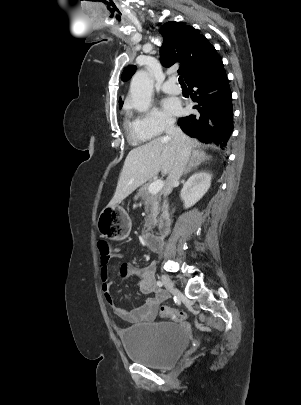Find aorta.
<instances>
[{
    "label": "aorta",
    "instance_id": "aorta-1",
    "mask_svg": "<svg viewBox=\"0 0 301 405\" xmlns=\"http://www.w3.org/2000/svg\"><path fill=\"white\" fill-rule=\"evenodd\" d=\"M153 82L145 71H138L132 77L130 96L133 107L139 112H146L151 105Z\"/></svg>",
    "mask_w": 301,
    "mask_h": 405
}]
</instances>
